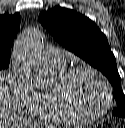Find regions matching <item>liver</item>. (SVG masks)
<instances>
[{
	"instance_id": "obj_1",
	"label": "liver",
	"mask_w": 125,
	"mask_h": 128,
	"mask_svg": "<svg viewBox=\"0 0 125 128\" xmlns=\"http://www.w3.org/2000/svg\"><path fill=\"white\" fill-rule=\"evenodd\" d=\"M11 98L9 90L0 78V128H10L12 126V115L10 110Z\"/></svg>"
}]
</instances>
